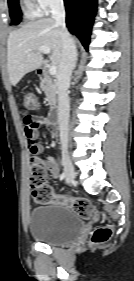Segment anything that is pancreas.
<instances>
[{"instance_id":"1","label":"pancreas","mask_w":134,"mask_h":281,"mask_svg":"<svg viewBox=\"0 0 134 281\" xmlns=\"http://www.w3.org/2000/svg\"><path fill=\"white\" fill-rule=\"evenodd\" d=\"M41 89L46 95V100L51 108L55 107L57 103V85L54 79L50 76H45L40 84Z\"/></svg>"}]
</instances>
